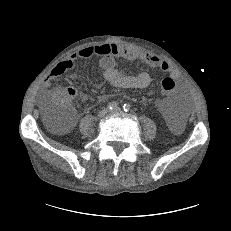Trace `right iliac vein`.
I'll list each match as a JSON object with an SVG mask.
<instances>
[{
    "label": "right iliac vein",
    "mask_w": 231,
    "mask_h": 231,
    "mask_svg": "<svg viewBox=\"0 0 231 231\" xmlns=\"http://www.w3.org/2000/svg\"><path fill=\"white\" fill-rule=\"evenodd\" d=\"M108 113V109H102L98 113V118H103Z\"/></svg>",
    "instance_id": "right-iliac-vein-1"
}]
</instances>
